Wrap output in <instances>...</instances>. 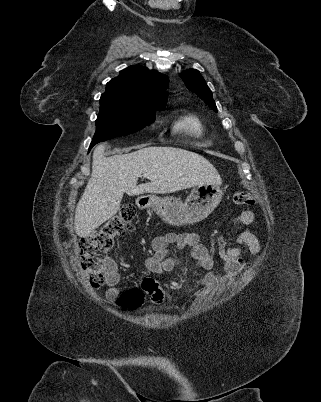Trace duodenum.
<instances>
[{
  "label": "duodenum",
  "instance_id": "1",
  "mask_svg": "<svg viewBox=\"0 0 321 402\" xmlns=\"http://www.w3.org/2000/svg\"><path fill=\"white\" fill-rule=\"evenodd\" d=\"M136 203L139 208H145L149 205L150 200L148 197H140L137 199Z\"/></svg>",
  "mask_w": 321,
  "mask_h": 402
}]
</instances>
